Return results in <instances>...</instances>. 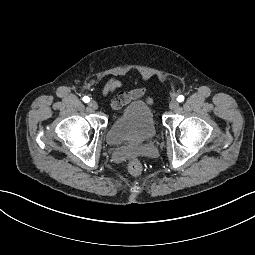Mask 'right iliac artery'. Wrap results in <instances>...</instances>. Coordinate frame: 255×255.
<instances>
[{
	"mask_svg": "<svg viewBox=\"0 0 255 255\" xmlns=\"http://www.w3.org/2000/svg\"><path fill=\"white\" fill-rule=\"evenodd\" d=\"M83 101L85 103H88L90 101V98L88 96L83 97Z\"/></svg>",
	"mask_w": 255,
	"mask_h": 255,
	"instance_id": "obj_1",
	"label": "right iliac artery"
}]
</instances>
